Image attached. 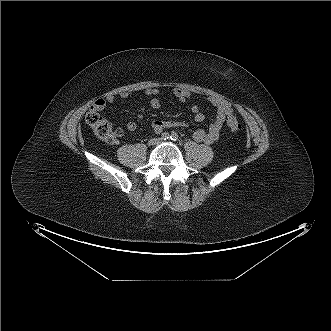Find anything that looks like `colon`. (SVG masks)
<instances>
[{"mask_svg":"<svg viewBox=\"0 0 331 331\" xmlns=\"http://www.w3.org/2000/svg\"><path fill=\"white\" fill-rule=\"evenodd\" d=\"M86 122L92 128L95 135L107 143H115L121 135L119 129H113L110 122L95 110L91 109L86 114ZM227 127L231 132L235 133L241 129V123L236 116L230 115L227 119Z\"/></svg>","mask_w":331,"mask_h":331,"instance_id":"colon-1","label":"colon"}]
</instances>
